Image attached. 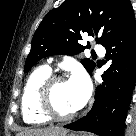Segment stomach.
Instances as JSON below:
<instances>
[{
	"label": "stomach",
	"instance_id": "obj_1",
	"mask_svg": "<svg viewBox=\"0 0 136 136\" xmlns=\"http://www.w3.org/2000/svg\"><path fill=\"white\" fill-rule=\"evenodd\" d=\"M54 136H76L75 134H68L67 132L66 133H59V134H56Z\"/></svg>",
	"mask_w": 136,
	"mask_h": 136
}]
</instances>
